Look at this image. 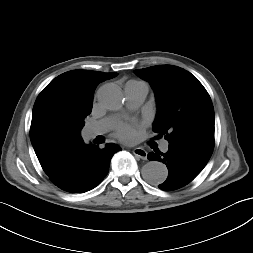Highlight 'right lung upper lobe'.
Listing matches in <instances>:
<instances>
[{"mask_svg": "<svg viewBox=\"0 0 253 253\" xmlns=\"http://www.w3.org/2000/svg\"><path fill=\"white\" fill-rule=\"evenodd\" d=\"M115 76L117 73L68 71L53 79L38 95L32 112L30 139L50 178L57 175L68 153L84 142L77 120L91 113L97 85Z\"/></svg>", "mask_w": 253, "mask_h": 253, "instance_id": "right-lung-upper-lobe-1", "label": "right lung upper lobe"}]
</instances>
